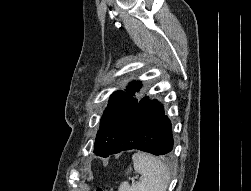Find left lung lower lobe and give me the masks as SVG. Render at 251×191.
I'll use <instances>...</instances> for the list:
<instances>
[{
  "label": "left lung lower lobe",
  "mask_w": 251,
  "mask_h": 191,
  "mask_svg": "<svg viewBox=\"0 0 251 191\" xmlns=\"http://www.w3.org/2000/svg\"><path fill=\"white\" fill-rule=\"evenodd\" d=\"M138 149L154 155H166L173 149L171 123L163 105L142 98L110 148L109 155ZM107 156V157H108Z\"/></svg>",
  "instance_id": "0a47b994"
}]
</instances>
